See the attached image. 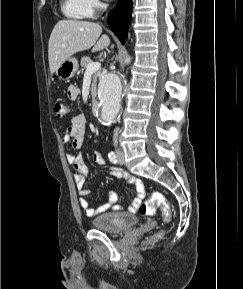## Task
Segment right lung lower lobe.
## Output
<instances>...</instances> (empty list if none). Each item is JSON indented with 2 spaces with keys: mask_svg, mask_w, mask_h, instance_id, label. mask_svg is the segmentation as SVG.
Listing matches in <instances>:
<instances>
[{
  "mask_svg": "<svg viewBox=\"0 0 243 289\" xmlns=\"http://www.w3.org/2000/svg\"><path fill=\"white\" fill-rule=\"evenodd\" d=\"M131 14L132 0H118L115 8L107 16L110 29L120 39L122 44H124L127 39Z\"/></svg>",
  "mask_w": 243,
  "mask_h": 289,
  "instance_id": "1",
  "label": "right lung lower lobe"
}]
</instances>
